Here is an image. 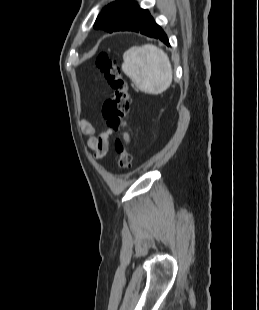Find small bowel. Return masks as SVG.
<instances>
[{
  "instance_id": "c3829d8e",
  "label": "small bowel",
  "mask_w": 259,
  "mask_h": 310,
  "mask_svg": "<svg viewBox=\"0 0 259 310\" xmlns=\"http://www.w3.org/2000/svg\"><path fill=\"white\" fill-rule=\"evenodd\" d=\"M81 131L87 136L86 145L93 152L94 156L98 159L104 157L109 148V138L112 131L107 128L99 135L94 134V128L87 120H81L79 122ZM124 137L130 141V136L127 132L124 133Z\"/></svg>"
}]
</instances>
